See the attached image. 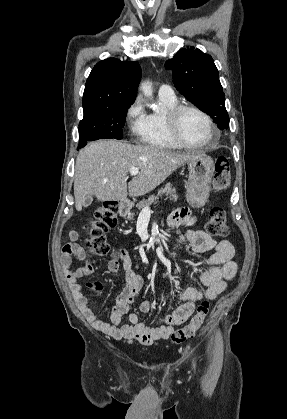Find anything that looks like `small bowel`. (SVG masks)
<instances>
[{"instance_id": "1", "label": "small bowel", "mask_w": 287, "mask_h": 419, "mask_svg": "<svg viewBox=\"0 0 287 419\" xmlns=\"http://www.w3.org/2000/svg\"><path fill=\"white\" fill-rule=\"evenodd\" d=\"M195 222L187 208H179L172 213L168 219L171 227L190 226ZM79 231L71 230L66 238L61 251L60 261L66 278L70 284L74 300L86 320L100 332L118 340H126L131 344L152 345L159 340L168 339L174 329L184 323L194 312L195 305L202 299L214 300L227 286V281L234 278L237 273V263L234 261L235 249L232 243L223 239L217 241L201 229H189L179 236L176 246L188 244L197 253L214 251L205 262L207 268L197 270L200 282L206 290L187 288L178 294L182 301L171 314L165 315L163 324L156 327H149L140 321L136 313H131L129 323H122V317L126 314L135 296L142 288L143 280L140 274L132 267L127 251L120 248L118 258L112 257L108 262V270L111 273L117 272L120 268L126 276L124 287L117 296L116 303L110 312L109 322L97 317L90 308L88 300L83 293V286L78 279L84 278L94 272V266L88 258L85 250L78 243ZM74 258L86 261V265L71 269ZM120 261V262H119ZM86 286L94 291H102L104 284L100 281L88 282ZM140 311L148 313L152 309L150 301H143Z\"/></svg>"}]
</instances>
